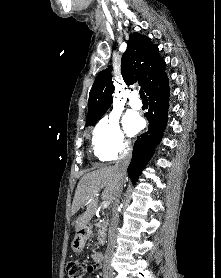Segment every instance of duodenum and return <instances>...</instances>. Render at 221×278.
Returning a JSON list of instances; mask_svg holds the SVG:
<instances>
[{
    "label": "duodenum",
    "mask_w": 221,
    "mask_h": 278,
    "mask_svg": "<svg viewBox=\"0 0 221 278\" xmlns=\"http://www.w3.org/2000/svg\"><path fill=\"white\" fill-rule=\"evenodd\" d=\"M85 235H86V230H85V229H82V230L80 231V236H79L80 239L84 238ZM93 259H94V262H95L94 267H95L96 269H99V268L101 267L102 263H103V259H104L103 254L100 253V252H98V251H95V252L93 253Z\"/></svg>",
    "instance_id": "410a0bca"
}]
</instances>
